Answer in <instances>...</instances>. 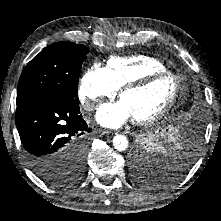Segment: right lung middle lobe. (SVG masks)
<instances>
[{
  "label": "right lung middle lobe",
  "instance_id": "obj_1",
  "mask_svg": "<svg viewBox=\"0 0 221 221\" xmlns=\"http://www.w3.org/2000/svg\"><path fill=\"white\" fill-rule=\"evenodd\" d=\"M83 45L57 42L35 56L23 70L18 83L17 103L36 95H62L78 101V75L88 54ZM90 140L80 143L68 155L64 168L59 163L41 167L38 176L54 186L78 181L84 171Z\"/></svg>",
  "mask_w": 221,
  "mask_h": 221
}]
</instances>
